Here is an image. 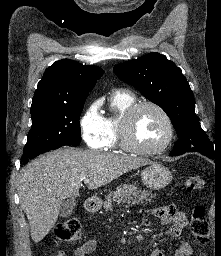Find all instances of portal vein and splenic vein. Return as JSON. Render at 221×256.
<instances>
[{
  "label": "portal vein and splenic vein",
  "instance_id": "portal-vein-and-splenic-vein-1",
  "mask_svg": "<svg viewBox=\"0 0 221 256\" xmlns=\"http://www.w3.org/2000/svg\"><path fill=\"white\" fill-rule=\"evenodd\" d=\"M85 184H88L90 182V179H84L83 181Z\"/></svg>",
  "mask_w": 221,
  "mask_h": 256
}]
</instances>
